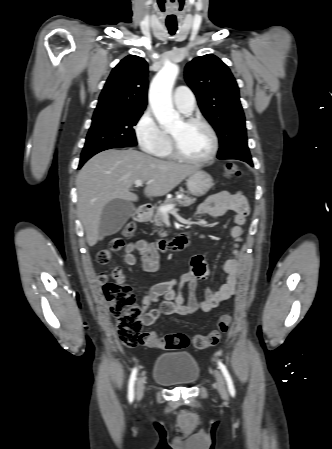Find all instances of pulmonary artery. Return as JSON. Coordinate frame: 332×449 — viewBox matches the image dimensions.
<instances>
[{
    "mask_svg": "<svg viewBox=\"0 0 332 449\" xmlns=\"http://www.w3.org/2000/svg\"><path fill=\"white\" fill-rule=\"evenodd\" d=\"M173 103L179 111L190 113L195 106L194 94L187 86H178L173 94Z\"/></svg>",
    "mask_w": 332,
    "mask_h": 449,
    "instance_id": "obj_1",
    "label": "pulmonary artery"
}]
</instances>
